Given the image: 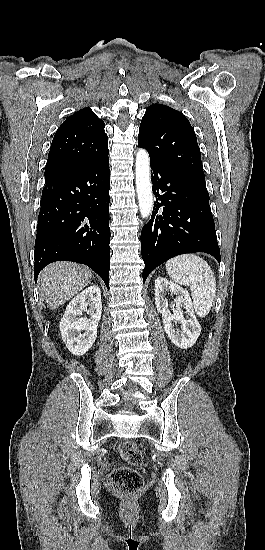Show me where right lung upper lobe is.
Here are the masks:
<instances>
[{
    "instance_id": "right-lung-upper-lobe-1",
    "label": "right lung upper lobe",
    "mask_w": 265,
    "mask_h": 550,
    "mask_svg": "<svg viewBox=\"0 0 265 550\" xmlns=\"http://www.w3.org/2000/svg\"><path fill=\"white\" fill-rule=\"evenodd\" d=\"M104 122L85 108L69 116L58 128L48 154L45 176L71 166L92 163L108 155Z\"/></svg>"
}]
</instances>
